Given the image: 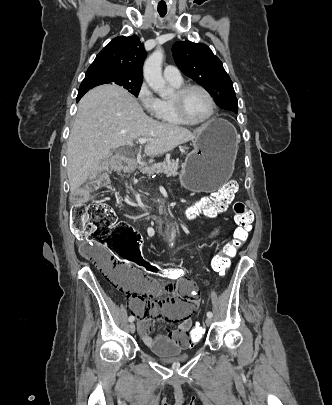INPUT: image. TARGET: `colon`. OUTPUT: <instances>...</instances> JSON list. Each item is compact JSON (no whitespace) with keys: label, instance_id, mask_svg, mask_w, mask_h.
I'll use <instances>...</instances> for the list:
<instances>
[{"label":"colon","instance_id":"5ec220e1","mask_svg":"<svg viewBox=\"0 0 332 405\" xmlns=\"http://www.w3.org/2000/svg\"><path fill=\"white\" fill-rule=\"evenodd\" d=\"M108 175L99 177L97 184H106ZM238 185L229 180L217 189L210 197L197 201L192 210L206 214L222 212L233 200ZM94 186L88 190L77 191L72 196L70 215L71 230L78 236L86 237L80 246L83 258L93 263L104 276L115 286L121 288L122 267H134L141 273H154L155 277L168 278L173 282L180 277L179 267H161L153 258H141L143 237L128 223L118 221L111 207L104 203L88 202ZM236 228L231 241L214 257L213 269L222 274L230 267V261L238 249L247 241L253 216L243 202L233 206ZM215 236L223 235L222 227L214 228ZM114 256H120L119 262ZM122 265V266H121ZM205 322H194L191 332L186 334L190 343L188 349L195 351L203 345Z\"/></svg>","mask_w":332,"mask_h":405}]
</instances>
